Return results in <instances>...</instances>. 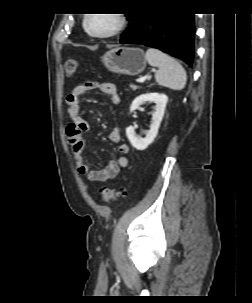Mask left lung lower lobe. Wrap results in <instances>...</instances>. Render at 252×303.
Returning <instances> with one entry per match:
<instances>
[{"instance_id":"left-lung-lower-lobe-1","label":"left lung lower lobe","mask_w":252,"mask_h":303,"mask_svg":"<svg viewBox=\"0 0 252 303\" xmlns=\"http://www.w3.org/2000/svg\"><path fill=\"white\" fill-rule=\"evenodd\" d=\"M194 38L193 13H154L148 10L142 13L136 27L120 43L157 48L192 67Z\"/></svg>"}]
</instances>
